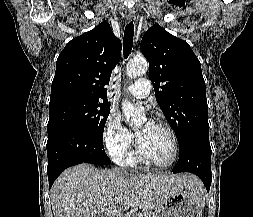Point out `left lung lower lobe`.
Instances as JSON below:
<instances>
[{
    "label": "left lung lower lobe",
    "instance_id": "left-lung-lower-lobe-1",
    "mask_svg": "<svg viewBox=\"0 0 253 217\" xmlns=\"http://www.w3.org/2000/svg\"><path fill=\"white\" fill-rule=\"evenodd\" d=\"M179 160L173 173L190 172L197 175L206 186L211 185V146L209 134L192 132L179 143Z\"/></svg>",
    "mask_w": 253,
    "mask_h": 217
}]
</instances>
